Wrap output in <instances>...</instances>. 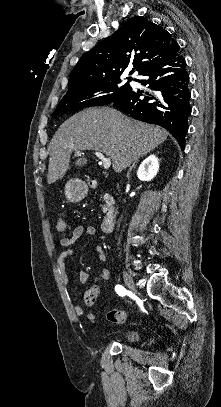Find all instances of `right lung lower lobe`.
<instances>
[{"label":"right lung lower lobe","mask_w":221,"mask_h":407,"mask_svg":"<svg viewBox=\"0 0 221 407\" xmlns=\"http://www.w3.org/2000/svg\"><path fill=\"white\" fill-rule=\"evenodd\" d=\"M140 75L147 78L136 81L148 85L151 91L131 89L111 104L134 119L164 127L184 149L191 114V94L186 63L179 45L176 44L166 57L150 65Z\"/></svg>","instance_id":"98d812e1"}]
</instances>
